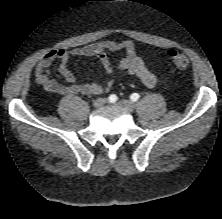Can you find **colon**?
<instances>
[{
  "label": "colon",
  "mask_w": 222,
  "mask_h": 219,
  "mask_svg": "<svg viewBox=\"0 0 222 219\" xmlns=\"http://www.w3.org/2000/svg\"><path fill=\"white\" fill-rule=\"evenodd\" d=\"M168 59L180 70H186L190 66L187 56L177 50H169L167 52Z\"/></svg>",
  "instance_id": "1"
}]
</instances>
